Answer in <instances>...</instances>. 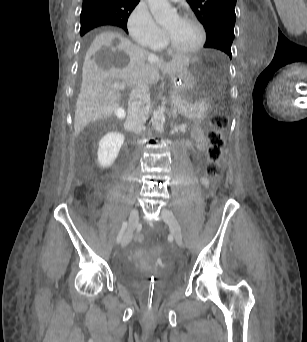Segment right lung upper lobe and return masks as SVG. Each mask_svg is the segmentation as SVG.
<instances>
[{
  "label": "right lung upper lobe",
  "mask_w": 307,
  "mask_h": 342,
  "mask_svg": "<svg viewBox=\"0 0 307 342\" xmlns=\"http://www.w3.org/2000/svg\"><path fill=\"white\" fill-rule=\"evenodd\" d=\"M140 0H83L82 11H98L112 15L111 24L127 31V20Z\"/></svg>",
  "instance_id": "cb5924a9"
}]
</instances>
